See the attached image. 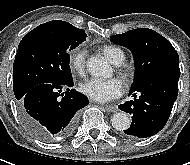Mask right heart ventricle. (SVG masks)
Masks as SVG:
<instances>
[{
	"label": "right heart ventricle",
	"mask_w": 190,
	"mask_h": 165,
	"mask_svg": "<svg viewBox=\"0 0 190 165\" xmlns=\"http://www.w3.org/2000/svg\"><path fill=\"white\" fill-rule=\"evenodd\" d=\"M103 54L113 63L116 65L121 64L125 60V53L124 51L113 45H106L102 48Z\"/></svg>",
	"instance_id": "right-heart-ventricle-1"
}]
</instances>
